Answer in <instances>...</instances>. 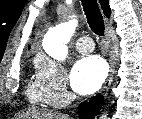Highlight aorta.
Listing matches in <instances>:
<instances>
[{
    "instance_id": "aorta-1",
    "label": "aorta",
    "mask_w": 142,
    "mask_h": 119,
    "mask_svg": "<svg viewBox=\"0 0 142 119\" xmlns=\"http://www.w3.org/2000/svg\"><path fill=\"white\" fill-rule=\"evenodd\" d=\"M77 20L73 19L50 28L45 34L42 42L45 52L56 60H64L68 55L67 43L72 38L77 27ZM101 119H107L103 115Z\"/></svg>"
}]
</instances>
